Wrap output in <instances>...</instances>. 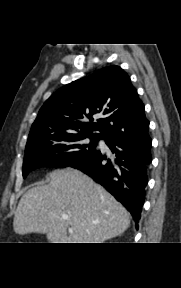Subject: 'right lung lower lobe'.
<instances>
[{
    "mask_svg": "<svg viewBox=\"0 0 181 288\" xmlns=\"http://www.w3.org/2000/svg\"><path fill=\"white\" fill-rule=\"evenodd\" d=\"M106 144L116 158L110 160L99 150L71 167L105 187L127 208L138 228L148 182L147 171L152 161V140L147 132L136 138L106 140Z\"/></svg>",
    "mask_w": 181,
    "mask_h": 288,
    "instance_id": "98d812e1",
    "label": "right lung lower lobe"
}]
</instances>
